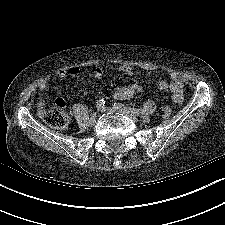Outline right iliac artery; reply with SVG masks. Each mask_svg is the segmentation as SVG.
Here are the masks:
<instances>
[{"label":"right iliac artery","mask_w":225,"mask_h":225,"mask_svg":"<svg viewBox=\"0 0 225 225\" xmlns=\"http://www.w3.org/2000/svg\"><path fill=\"white\" fill-rule=\"evenodd\" d=\"M104 104H105V101H104L103 99H100V100H98L97 103H96V108H97L98 110H100V109H102V108L104 107Z\"/></svg>","instance_id":"obj_1"}]
</instances>
